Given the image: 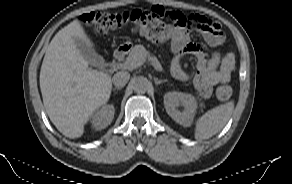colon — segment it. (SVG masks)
<instances>
[{
    "label": "colon",
    "mask_w": 292,
    "mask_h": 184,
    "mask_svg": "<svg viewBox=\"0 0 292 184\" xmlns=\"http://www.w3.org/2000/svg\"><path fill=\"white\" fill-rule=\"evenodd\" d=\"M81 20L101 34L129 27L157 43H171L178 34L196 25V21L191 16L162 7L119 13L92 11L83 14ZM231 95L232 89L228 85H221L216 89V96L221 101L229 99Z\"/></svg>",
    "instance_id": "obj_1"
}]
</instances>
